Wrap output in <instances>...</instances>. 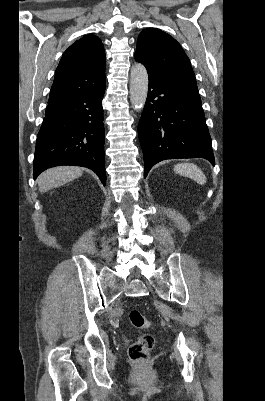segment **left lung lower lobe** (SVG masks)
I'll list each match as a JSON object with an SVG mask.
<instances>
[{"instance_id":"left-lung-lower-lobe-1","label":"left lung lower lobe","mask_w":265,"mask_h":401,"mask_svg":"<svg viewBox=\"0 0 265 401\" xmlns=\"http://www.w3.org/2000/svg\"><path fill=\"white\" fill-rule=\"evenodd\" d=\"M144 177L166 159L205 158L215 164L196 84L149 75L148 97L138 125Z\"/></svg>"}]
</instances>
